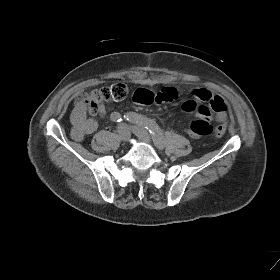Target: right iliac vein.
Here are the masks:
<instances>
[{"mask_svg":"<svg viewBox=\"0 0 280 280\" xmlns=\"http://www.w3.org/2000/svg\"><path fill=\"white\" fill-rule=\"evenodd\" d=\"M118 133H119V137L122 141L126 142L130 139V131L127 125L125 124H121L118 127Z\"/></svg>","mask_w":280,"mask_h":280,"instance_id":"1","label":"right iliac vein"}]
</instances>
